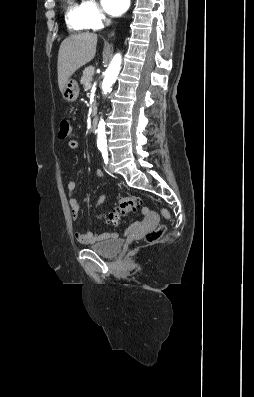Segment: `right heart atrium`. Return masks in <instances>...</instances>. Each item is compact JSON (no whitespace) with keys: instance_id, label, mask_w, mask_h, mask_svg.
Masks as SVG:
<instances>
[{"instance_id":"right-heart-atrium-1","label":"right heart atrium","mask_w":254,"mask_h":397,"mask_svg":"<svg viewBox=\"0 0 254 397\" xmlns=\"http://www.w3.org/2000/svg\"><path fill=\"white\" fill-rule=\"evenodd\" d=\"M84 18L91 29H98L106 20L104 13L95 0H84L82 3Z\"/></svg>"}]
</instances>
